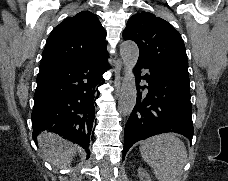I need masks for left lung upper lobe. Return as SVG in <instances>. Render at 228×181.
<instances>
[{"label": "left lung upper lobe", "instance_id": "5c2ea615", "mask_svg": "<svg viewBox=\"0 0 228 181\" xmlns=\"http://www.w3.org/2000/svg\"><path fill=\"white\" fill-rule=\"evenodd\" d=\"M125 40L139 47V59L166 64L188 73L186 49L178 31L149 12L133 15L123 31Z\"/></svg>", "mask_w": 228, "mask_h": 181}]
</instances>
